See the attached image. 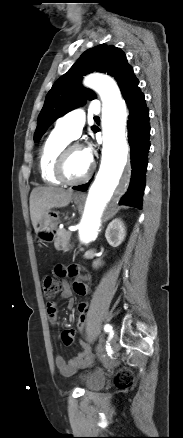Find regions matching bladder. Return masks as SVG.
Returning <instances> with one entry per match:
<instances>
[{"instance_id": "1", "label": "bladder", "mask_w": 183, "mask_h": 438, "mask_svg": "<svg viewBox=\"0 0 183 438\" xmlns=\"http://www.w3.org/2000/svg\"><path fill=\"white\" fill-rule=\"evenodd\" d=\"M105 383V378L101 374H89L85 379V387L90 390L99 389Z\"/></svg>"}]
</instances>
